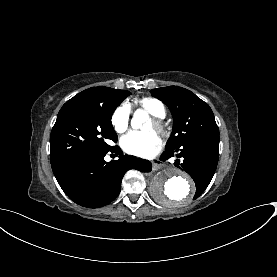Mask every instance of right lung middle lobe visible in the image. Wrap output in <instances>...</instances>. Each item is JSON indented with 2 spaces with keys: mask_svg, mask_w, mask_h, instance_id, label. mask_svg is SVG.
Returning <instances> with one entry per match:
<instances>
[{
  "mask_svg": "<svg viewBox=\"0 0 277 277\" xmlns=\"http://www.w3.org/2000/svg\"><path fill=\"white\" fill-rule=\"evenodd\" d=\"M130 94L129 91L118 90L112 100L76 95L67 101L51 131V164L72 155L109 149L111 146L107 140L117 141L111 116Z\"/></svg>",
  "mask_w": 277,
  "mask_h": 277,
  "instance_id": "obj_1",
  "label": "right lung middle lobe"
}]
</instances>
